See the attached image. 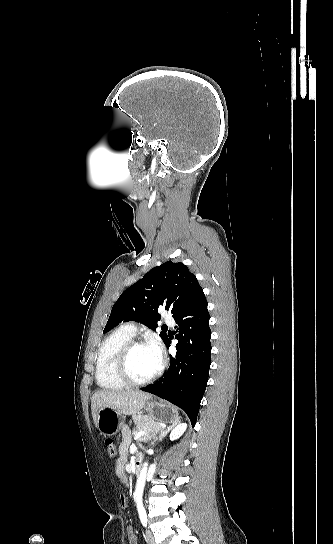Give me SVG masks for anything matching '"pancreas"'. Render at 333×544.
Masks as SVG:
<instances>
[{
    "mask_svg": "<svg viewBox=\"0 0 333 544\" xmlns=\"http://www.w3.org/2000/svg\"><path fill=\"white\" fill-rule=\"evenodd\" d=\"M134 424L137 431L144 430L146 432L144 438L147 437L150 432H159L164 430L148 415L136 416L134 418Z\"/></svg>",
    "mask_w": 333,
    "mask_h": 544,
    "instance_id": "1",
    "label": "pancreas"
}]
</instances>
